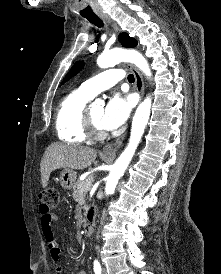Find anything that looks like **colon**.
I'll list each match as a JSON object with an SVG mask.
<instances>
[{
  "instance_id": "colon-1",
  "label": "colon",
  "mask_w": 221,
  "mask_h": 274,
  "mask_svg": "<svg viewBox=\"0 0 221 274\" xmlns=\"http://www.w3.org/2000/svg\"><path fill=\"white\" fill-rule=\"evenodd\" d=\"M60 194L54 187L46 188L42 191L40 200L48 207H55L59 203Z\"/></svg>"
}]
</instances>
